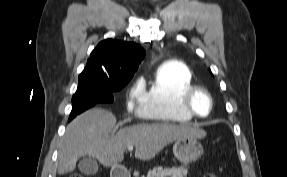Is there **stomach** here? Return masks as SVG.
<instances>
[{
  "label": "stomach",
  "instance_id": "stomach-1",
  "mask_svg": "<svg viewBox=\"0 0 287 177\" xmlns=\"http://www.w3.org/2000/svg\"><path fill=\"white\" fill-rule=\"evenodd\" d=\"M173 153L180 162L188 164L195 162L201 157L203 154V147L196 137H182L175 141ZM120 171L121 168L116 166L112 169L111 174L117 175Z\"/></svg>",
  "mask_w": 287,
  "mask_h": 177
}]
</instances>
